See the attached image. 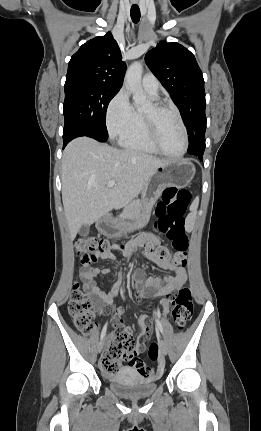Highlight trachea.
Masks as SVG:
<instances>
[{"mask_svg":"<svg viewBox=\"0 0 261 431\" xmlns=\"http://www.w3.org/2000/svg\"><path fill=\"white\" fill-rule=\"evenodd\" d=\"M130 14H131L132 21L134 23H138L140 20V9H139L138 5H132L131 6Z\"/></svg>","mask_w":261,"mask_h":431,"instance_id":"obj_1","label":"trachea"}]
</instances>
